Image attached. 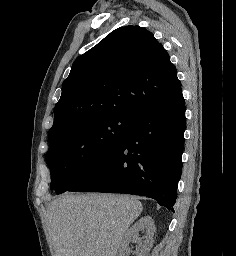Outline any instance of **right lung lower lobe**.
<instances>
[{
    "label": "right lung lower lobe",
    "mask_w": 236,
    "mask_h": 256,
    "mask_svg": "<svg viewBox=\"0 0 236 256\" xmlns=\"http://www.w3.org/2000/svg\"><path fill=\"white\" fill-rule=\"evenodd\" d=\"M185 125L180 87L144 110L120 144L67 191L143 195L174 211Z\"/></svg>",
    "instance_id": "obj_1"
}]
</instances>
